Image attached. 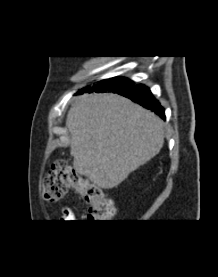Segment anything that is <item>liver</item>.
<instances>
[{
	"mask_svg": "<svg viewBox=\"0 0 218 277\" xmlns=\"http://www.w3.org/2000/svg\"><path fill=\"white\" fill-rule=\"evenodd\" d=\"M74 169L112 189L156 156L164 144L163 121L117 94H83L66 119Z\"/></svg>",
	"mask_w": 218,
	"mask_h": 277,
	"instance_id": "obj_1",
	"label": "liver"
}]
</instances>
